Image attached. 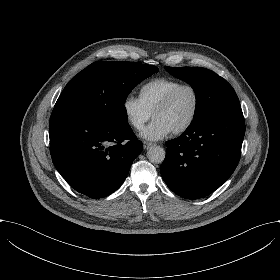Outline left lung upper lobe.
I'll use <instances>...</instances> for the list:
<instances>
[{
  "label": "left lung upper lobe",
  "instance_id": "1",
  "mask_svg": "<svg viewBox=\"0 0 280 280\" xmlns=\"http://www.w3.org/2000/svg\"><path fill=\"white\" fill-rule=\"evenodd\" d=\"M165 69L190 84L195 91L196 107L191 124L218 112L240 107L232 86L215 72L198 67L165 66Z\"/></svg>",
  "mask_w": 280,
  "mask_h": 280
}]
</instances>
